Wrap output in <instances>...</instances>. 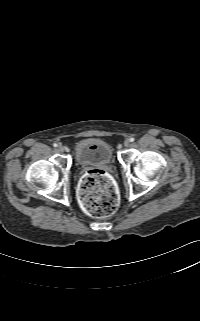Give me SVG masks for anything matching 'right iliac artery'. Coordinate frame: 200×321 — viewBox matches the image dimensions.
<instances>
[{
  "mask_svg": "<svg viewBox=\"0 0 200 321\" xmlns=\"http://www.w3.org/2000/svg\"><path fill=\"white\" fill-rule=\"evenodd\" d=\"M54 147H57L58 145L56 143L53 144Z\"/></svg>",
  "mask_w": 200,
  "mask_h": 321,
  "instance_id": "1",
  "label": "right iliac artery"
}]
</instances>
